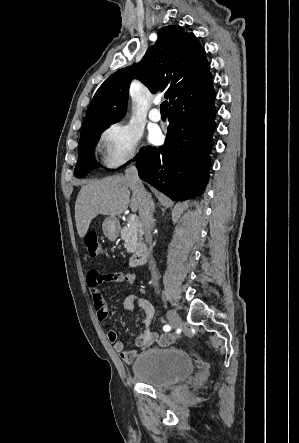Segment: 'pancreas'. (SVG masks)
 <instances>
[{"label": "pancreas", "mask_w": 299, "mask_h": 443, "mask_svg": "<svg viewBox=\"0 0 299 443\" xmlns=\"http://www.w3.org/2000/svg\"><path fill=\"white\" fill-rule=\"evenodd\" d=\"M143 230L139 222L130 223L121 230L127 252H135L142 241Z\"/></svg>", "instance_id": "obj_1"}]
</instances>
